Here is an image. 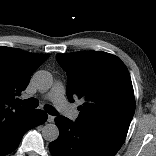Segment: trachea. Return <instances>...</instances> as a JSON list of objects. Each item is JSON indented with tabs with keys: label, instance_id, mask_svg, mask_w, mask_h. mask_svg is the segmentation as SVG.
<instances>
[{
	"label": "trachea",
	"instance_id": "3493384b",
	"mask_svg": "<svg viewBox=\"0 0 156 156\" xmlns=\"http://www.w3.org/2000/svg\"><path fill=\"white\" fill-rule=\"evenodd\" d=\"M17 103L23 106H27L29 108H36L38 106V100L35 98H29L26 100L17 99ZM45 111L50 115H56L57 110L51 105L44 106Z\"/></svg>",
	"mask_w": 156,
	"mask_h": 156
}]
</instances>
